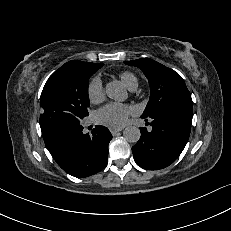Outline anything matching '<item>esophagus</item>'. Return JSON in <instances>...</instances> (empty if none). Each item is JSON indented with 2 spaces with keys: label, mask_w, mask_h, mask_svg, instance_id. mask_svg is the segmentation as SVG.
I'll list each match as a JSON object with an SVG mask.
<instances>
[{
  "label": "esophagus",
  "mask_w": 231,
  "mask_h": 231,
  "mask_svg": "<svg viewBox=\"0 0 231 231\" xmlns=\"http://www.w3.org/2000/svg\"><path fill=\"white\" fill-rule=\"evenodd\" d=\"M120 131H122L121 128H119V129H113V128H111V129H110V132L112 133V135H116V134L119 133Z\"/></svg>",
  "instance_id": "esophagus-1"
}]
</instances>
